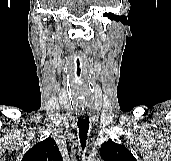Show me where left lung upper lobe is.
<instances>
[{"label":"left lung upper lobe","instance_id":"obj_1","mask_svg":"<svg viewBox=\"0 0 171 161\" xmlns=\"http://www.w3.org/2000/svg\"><path fill=\"white\" fill-rule=\"evenodd\" d=\"M100 155L104 161H137L124 145L116 144L112 140L101 145Z\"/></svg>","mask_w":171,"mask_h":161}]
</instances>
